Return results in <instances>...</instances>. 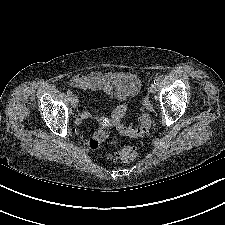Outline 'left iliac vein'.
I'll return each instance as SVG.
<instances>
[{
  "label": "left iliac vein",
  "mask_w": 225,
  "mask_h": 225,
  "mask_svg": "<svg viewBox=\"0 0 225 225\" xmlns=\"http://www.w3.org/2000/svg\"><path fill=\"white\" fill-rule=\"evenodd\" d=\"M156 90H157L156 84L151 83L150 86H149L150 93L155 94Z\"/></svg>",
  "instance_id": "1"
}]
</instances>
